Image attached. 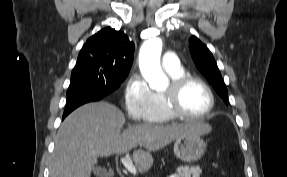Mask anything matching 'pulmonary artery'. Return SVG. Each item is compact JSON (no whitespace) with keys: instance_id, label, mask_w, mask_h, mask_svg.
I'll use <instances>...</instances> for the list:
<instances>
[{"instance_id":"1","label":"pulmonary artery","mask_w":287,"mask_h":177,"mask_svg":"<svg viewBox=\"0 0 287 177\" xmlns=\"http://www.w3.org/2000/svg\"><path fill=\"white\" fill-rule=\"evenodd\" d=\"M162 66L166 71H174L180 67V62L174 51H167L164 54Z\"/></svg>"}]
</instances>
